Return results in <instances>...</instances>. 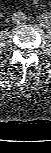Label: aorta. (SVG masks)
Returning a JSON list of instances; mask_svg holds the SVG:
<instances>
[{
  "instance_id": "762f6f07",
  "label": "aorta",
  "mask_w": 51,
  "mask_h": 153,
  "mask_svg": "<svg viewBox=\"0 0 51 153\" xmlns=\"http://www.w3.org/2000/svg\"><path fill=\"white\" fill-rule=\"evenodd\" d=\"M39 20L41 21V26L44 28H48L51 26V14L43 13Z\"/></svg>"
}]
</instances>
